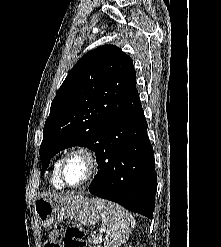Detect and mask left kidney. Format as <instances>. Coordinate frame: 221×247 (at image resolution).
<instances>
[{"instance_id": "5707ae66", "label": "left kidney", "mask_w": 221, "mask_h": 247, "mask_svg": "<svg viewBox=\"0 0 221 247\" xmlns=\"http://www.w3.org/2000/svg\"><path fill=\"white\" fill-rule=\"evenodd\" d=\"M129 247H132V246H129ZM137 247H139V246H137ZM140 247H143V246H140Z\"/></svg>"}]
</instances>
